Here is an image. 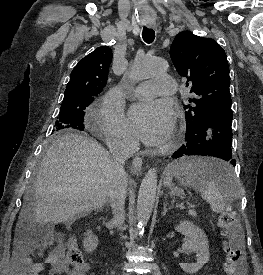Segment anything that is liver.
Listing matches in <instances>:
<instances>
[{"instance_id":"liver-1","label":"liver","mask_w":263,"mask_h":275,"mask_svg":"<svg viewBox=\"0 0 263 275\" xmlns=\"http://www.w3.org/2000/svg\"><path fill=\"white\" fill-rule=\"evenodd\" d=\"M112 156L96 140L75 133L59 136L36 177L33 209L25 203L19 223L32 210L39 224L56 225L101 210L109 199Z\"/></svg>"}]
</instances>
